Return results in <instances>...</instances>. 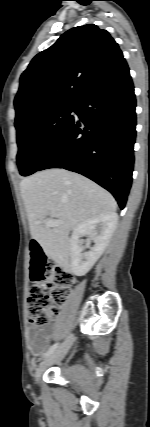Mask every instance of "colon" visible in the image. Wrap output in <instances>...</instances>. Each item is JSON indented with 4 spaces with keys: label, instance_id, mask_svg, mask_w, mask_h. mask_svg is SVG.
<instances>
[{
    "label": "colon",
    "instance_id": "colon-1",
    "mask_svg": "<svg viewBox=\"0 0 150 427\" xmlns=\"http://www.w3.org/2000/svg\"><path fill=\"white\" fill-rule=\"evenodd\" d=\"M29 254L30 276L35 284L28 289V320L42 326L58 316L75 279L63 266L50 260L37 241H31ZM38 283H44L46 289Z\"/></svg>",
    "mask_w": 150,
    "mask_h": 427
}]
</instances>
